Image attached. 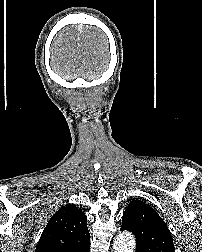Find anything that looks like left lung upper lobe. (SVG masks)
Segmentation results:
<instances>
[{"instance_id":"obj_1","label":"left lung upper lobe","mask_w":202,"mask_h":252,"mask_svg":"<svg viewBox=\"0 0 202 252\" xmlns=\"http://www.w3.org/2000/svg\"><path fill=\"white\" fill-rule=\"evenodd\" d=\"M122 230L136 237V252H175L171 233L158 213L148 204L132 200L122 218Z\"/></svg>"}]
</instances>
